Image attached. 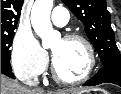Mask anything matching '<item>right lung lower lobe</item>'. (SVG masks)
I'll use <instances>...</instances> for the list:
<instances>
[{"label":"right lung lower lobe","mask_w":121,"mask_h":94,"mask_svg":"<svg viewBox=\"0 0 121 94\" xmlns=\"http://www.w3.org/2000/svg\"><path fill=\"white\" fill-rule=\"evenodd\" d=\"M1 73L10 78H15L10 64H1Z\"/></svg>","instance_id":"1"}]
</instances>
